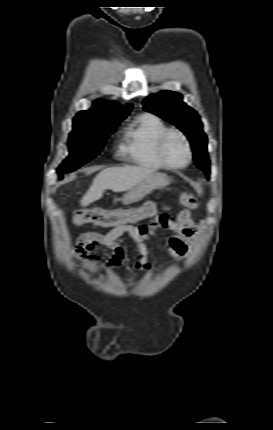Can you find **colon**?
<instances>
[{
  "label": "colon",
  "mask_w": 273,
  "mask_h": 430,
  "mask_svg": "<svg viewBox=\"0 0 273 430\" xmlns=\"http://www.w3.org/2000/svg\"><path fill=\"white\" fill-rule=\"evenodd\" d=\"M180 202L184 207L190 210L196 209L198 206L197 198L192 193H182L180 196ZM155 214L156 205L153 202H147L139 208L128 210H105L101 208L87 209L78 213L74 217L73 222L77 226L92 223L109 227L115 225H129L130 223L151 218ZM161 220H164V218L162 217ZM77 251L81 255L83 252L86 253L87 249L85 246L78 245Z\"/></svg>",
  "instance_id": "obj_1"
}]
</instances>
